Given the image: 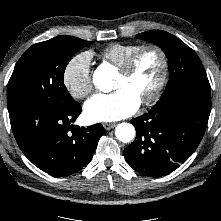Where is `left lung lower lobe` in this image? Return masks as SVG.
I'll return each mask as SVG.
<instances>
[{
	"label": "left lung lower lobe",
	"mask_w": 221,
	"mask_h": 221,
	"mask_svg": "<svg viewBox=\"0 0 221 221\" xmlns=\"http://www.w3.org/2000/svg\"><path fill=\"white\" fill-rule=\"evenodd\" d=\"M210 111L207 90L185 88L163 96L149 112L132 119L136 138L124 149L126 161L145 176L171 173L196 150Z\"/></svg>",
	"instance_id": "left-lung-lower-lobe-1"
}]
</instances>
